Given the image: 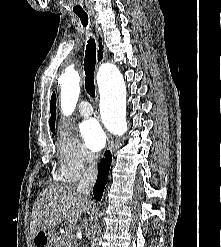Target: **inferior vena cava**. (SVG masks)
Wrapping results in <instances>:
<instances>
[{
	"label": "inferior vena cava",
	"instance_id": "602c4592",
	"mask_svg": "<svg viewBox=\"0 0 221 247\" xmlns=\"http://www.w3.org/2000/svg\"><path fill=\"white\" fill-rule=\"evenodd\" d=\"M95 158L96 157L93 153H88L87 163L89 164V166L87 167L85 173L83 174V177L77 185V190L85 197H88L90 195L91 188L93 187L97 178L96 163L94 161Z\"/></svg>",
	"mask_w": 221,
	"mask_h": 247
}]
</instances>
